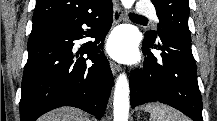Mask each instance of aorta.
<instances>
[{"label":"aorta","instance_id":"obj_1","mask_svg":"<svg viewBox=\"0 0 217 121\" xmlns=\"http://www.w3.org/2000/svg\"><path fill=\"white\" fill-rule=\"evenodd\" d=\"M125 9H130L135 0H121ZM114 121H128L129 114V83L125 74H120L114 91Z\"/></svg>","mask_w":217,"mask_h":121}]
</instances>
